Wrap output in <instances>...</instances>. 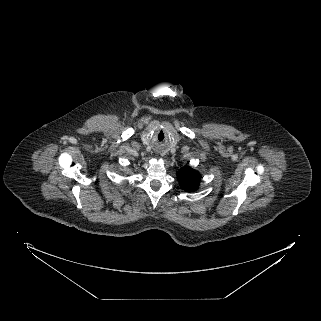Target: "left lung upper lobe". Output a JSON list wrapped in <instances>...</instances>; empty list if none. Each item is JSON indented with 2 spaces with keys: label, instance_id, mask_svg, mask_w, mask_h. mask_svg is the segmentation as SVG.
I'll return each mask as SVG.
<instances>
[{
  "label": "left lung upper lobe",
  "instance_id": "obj_1",
  "mask_svg": "<svg viewBox=\"0 0 321 321\" xmlns=\"http://www.w3.org/2000/svg\"><path fill=\"white\" fill-rule=\"evenodd\" d=\"M177 178L185 191L193 192L198 188L200 175L190 167H185L177 172Z\"/></svg>",
  "mask_w": 321,
  "mask_h": 321
}]
</instances>
